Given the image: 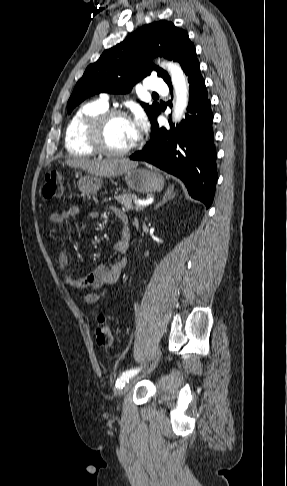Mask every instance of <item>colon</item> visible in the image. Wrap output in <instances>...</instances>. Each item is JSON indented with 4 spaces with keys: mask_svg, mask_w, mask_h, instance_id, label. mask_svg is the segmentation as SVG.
<instances>
[{
    "mask_svg": "<svg viewBox=\"0 0 287 486\" xmlns=\"http://www.w3.org/2000/svg\"><path fill=\"white\" fill-rule=\"evenodd\" d=\"M63 192L62 176L58 171H50L45 175L42 196L45 200L59 197ZM95 340L98 346L107 347L112 343V327L108 316L99 313L95 328Z\"/></svg>",
    "mask_w": 287,
    "mask_h": 486,
    "instance_id": "1",
    "label": "colon"
}]
</instances>
